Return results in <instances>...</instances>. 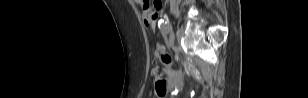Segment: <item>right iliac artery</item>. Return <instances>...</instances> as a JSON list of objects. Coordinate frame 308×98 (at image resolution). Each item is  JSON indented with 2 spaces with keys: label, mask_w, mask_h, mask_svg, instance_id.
Here are the masks:
<instances>
[{
  "label": "right iliac artery",
  "mask_w": 308,
  "mask_h": 98,
  "mask_svg": "<svg viewBox=\"0 0 308 98\" xmlns=\"http://www.w3.org/2000/svg\"><path fill=\"white\" fill-rule=\"evenodd\" d=\"M158 27L162 33L163 36H166L168 34V25L167 22H164V20H160L158 22Z\"/></svg>",
  "instance_id": "right-iliac-artery-1"
}]
</instances>
